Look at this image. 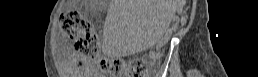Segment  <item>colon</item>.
<instances>
[{
  "label": "colon",
  "mask_w": 258,
  "mask_h": 77,
  "mask_svg": "<svg viewBox=\"0 0 258 77\" xmlns=\"http://www.w3.org/2000/svg\"><path fill=\"white\" fill-rule=\"evenodd\" d=\"M61 27L70 39L75 41V51L80 57L93 59L101 71L121 73L126 70L130 77H144L150 69L148 62L142 58H108L99 55L98 36L93 26L83 20L77 12H67L61 17Z\"/></svg>",
  "instance_id": "obj_1"
}]
</instances>
